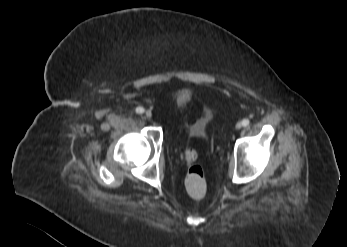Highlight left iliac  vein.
<instances>
[{"label":"left iliac vein","mask_w":347,"mask_h":247,"mask_svg":"<svg viewBox=\"0 0 347 247\" xmlns=\"http://www.w3.org/2000/svg\"><path fill=\"white\" fill-rule=\"evenodd\" d=\"M241 127H242V123H240V122H238L235 126L236 129H241Z\"/></svg>","instance_id":"obj_1"}]
</instances>
